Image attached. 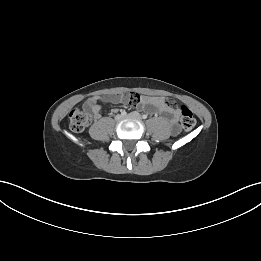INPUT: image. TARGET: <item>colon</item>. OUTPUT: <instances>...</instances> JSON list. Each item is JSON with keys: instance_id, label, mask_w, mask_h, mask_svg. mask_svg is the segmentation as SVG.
Masks as SVG:
<instances>
[{"instance_id": "colon-1", "label": "colon", "mask_w": 261, "mask_h": 261, "mask_svg": "<svg viewBox=\"0 0 261 261\" xmlns=\"http://www.w3.org/2000/svg\"><path fill=\"white\" fill-rule=\"evenodd\" d=\"M138 94V93H136ZM171 104V102L168 100ZM136 105V104H134ZM181 126L185 131H190L196 124V119L193 112L185 105L180 107ZM92 115L90 112L81 109L80 107L74 108L69 114V125L74 132L83 131L91 122Z\"/></svg>"}]
</instances>
